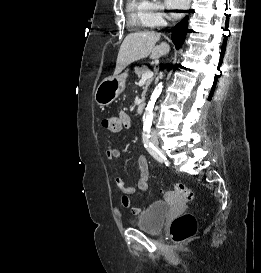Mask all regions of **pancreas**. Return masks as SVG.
I'll use <instances>...</instances> for the list:
<instances>
[{
	"mask_svg": "<svg viewBox=\"0 0 261 273\" xmlns=\"http://www.w3.org/2000/svg\"><path fill=\"white\" fill-rule=\"evenodd\" d=\"M148 71H149V69H148V67H146V66L136 67V68H135V74L138 76V78H141L142 75H143L144 73L148 72ZM151 81H152L151 78L148 79V80L146 81V85H145V88H144V91H143V98H144V96H145V93H146L147 88H148V86L150 85Z\"/></svg>",
	"mask_w": 261,
	"mask_h": 273,
	"instance_id": "pancreas-1",
	"label": "pancreas"
}]
</instances>
